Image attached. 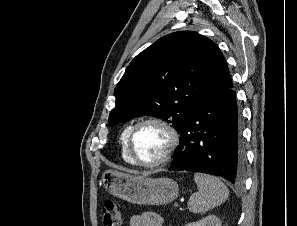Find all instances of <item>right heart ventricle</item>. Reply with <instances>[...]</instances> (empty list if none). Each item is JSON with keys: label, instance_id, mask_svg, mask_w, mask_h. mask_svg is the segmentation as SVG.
<instances>
[{"label": "right heart ventricle", "instance_id": "right-heart-ventricle-1", "mask_svg": "<svg viewBox=\"0 0 297 226\" xmlns=\"http://www.w3.org/2000/svg\"><path fill=\"white\" fill-rule=\"evenodd\" d=\"M130 128H131V125L126 126L120 135L121 156L125 162H127L129 164H134L132 162L131 158L129 157V154L127 152V147H126V139H127Z\"/></svg>", "mask_w": 297, "mask_h": 226}]
</instances>
